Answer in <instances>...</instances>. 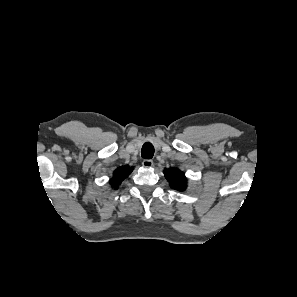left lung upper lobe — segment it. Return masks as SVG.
Here are the masks:
<instances>
[{
	"label": "left lung upper lobe",
	"mask_w": 297,
	"mask_h": 297,
	"mask_svg": "<svg viewBox=\"0 0 297 297\" xmlns=\"http://www.w3.org/2000/svg\"><path fill=\"white\" fill-rule=\"evenodd\" d=\"M170 186L176 190L184 191L186 188V177L183 172L178 169H169L164 172Z\"/></svg>",
	"instance_id": "obj_1"
}]
</instances>
